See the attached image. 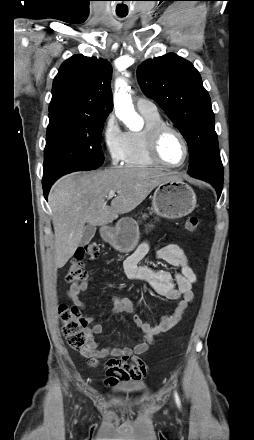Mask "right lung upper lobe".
Listing matches in <instances>:
<instances>
[{"label":"right lung upper lobe","mask_w":254,"mask_h":440,"mask_svg":"<svg viewBox=\"0 0 254 440\" xmlns=\"http://www.w3.org/2000/svg\"><path fill=\"white\" fill-rule=\"evenodd\" d=\"M111 65L107 60L74 55L54 78L49 114L68 110L107 117L113 108Z\"/></svg>","instance_id":"right-lung-upper-lobe-1"}]
</instances>
